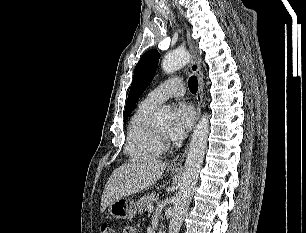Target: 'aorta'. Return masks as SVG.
<instances>
[{"label":"aorta","instance_id":"1","mask_svg":"<svg viewBox=\"0 0 306 233\" xmlns=\"http://www.w3.org/2000/svg\"><path fill=\"white\" fill-rule=\"evenodd\" d=\"M190 61L186 50H176L164 56L162 68L170 74L184 67ZM171 120V115L165 109L156 113V122L165 124ZM209 134V117L204 114L196 125L186 156L185 167L180 180L179 191L174 198L173 212L168 233H179L184 216L187 212L200 173L201 165L207 147Z\"/></svg>","mask_w":306,"mask_h":233}]
</instances>
